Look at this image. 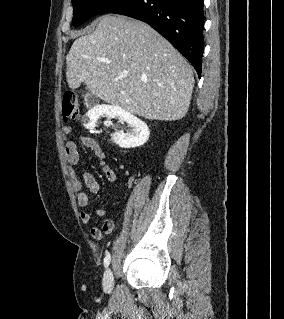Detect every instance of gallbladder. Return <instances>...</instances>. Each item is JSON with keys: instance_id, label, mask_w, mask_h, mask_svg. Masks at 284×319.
<instances>
[{"instance_id": "1", "label": "gallbladder", "mask_w": 284, "mask_h": 319, "mask_svg": "<svg viewBox=\"0 0 284 319\" xmlns=\"http://www.w3.org/2000/svg\"><path fill=\"white\" fill-rule=\"evenodd\" d=\"M100 102V98L93 94H88L85 96V105L88 107H92L97 105Z\"/></svg>"}]
</instances>
